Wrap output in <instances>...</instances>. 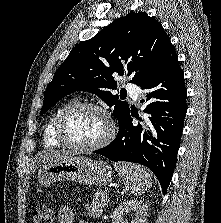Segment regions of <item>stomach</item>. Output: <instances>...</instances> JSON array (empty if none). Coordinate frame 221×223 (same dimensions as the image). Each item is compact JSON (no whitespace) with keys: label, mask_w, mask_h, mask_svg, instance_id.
Masks as SVG:
<instances>
[{"label":"stomach","mask_w":221,"mask_h":223,"mask_svg":"<svg viewBox=\"0 0 221 223\" xmlns=\"http://www.w3.org/2000/svg\"><path fill=\"white\" fill-rule=\"evenodd\" d=\"M110 165L83 156H69L45 163L38 173L40 187L47 188L57 181H74L80 184L103 186L111 182Z\"/></svg>","instance_id":"obj_1"}]
</instances>
